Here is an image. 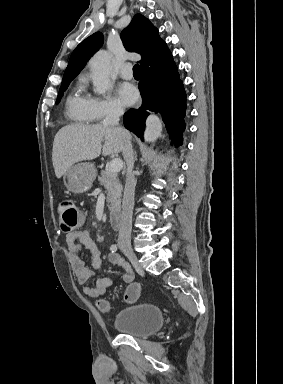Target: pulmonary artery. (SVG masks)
I'll use <instances>...</instances> for the list:
<instances>
[{
    "label": "pulmonary artery",
    "mask_w": 283,
    "mask_h": 384,
    "mask_svg": "<svg viewBox=\"0 0 283 384\" xmlns=\"http://www.w3.org/2000/svg\"><path fill=\"white\" fill-rule=\"evenodd\" d=\"M121 78L130 80L133 77L132 65L131 63H126L119 71Z\"/></svg>",
    "instance_id": "1"
}]
</instances>
